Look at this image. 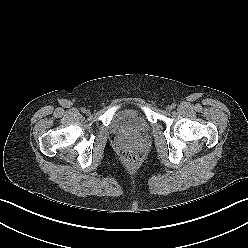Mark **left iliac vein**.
Instances as JSON below:
<instances>
[{"label":"left iliac vein","mask_w":248,"mask_h":248,"mask_svg":"<svg viewBox=\"0 0 248 248\" xmlns=\"http://www.w3.org/2000/svg\"><path fill=\"white\" fill-rule=\"evenodd\" d=\"M166 110H167V111H171V110H172L171 105H168V106L166 107Z\"/></svg>","instance_id":"left-iliac-vein-1"}]
</instances>
